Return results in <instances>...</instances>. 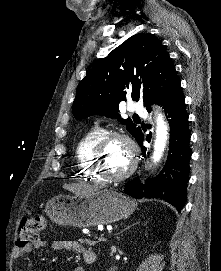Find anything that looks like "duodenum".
Wrapping results in <instances>:
<instances>
[{
	"label": "duodenum",
	"instance_id": "410a0bca",
	"mask_svg": "<svg viewBox=\"0 0 221 271\" xmlns=\"http://www.w3.org/2000/svg\"><path fill=\"white\" fill-rule=\"evenodd\" d=\"M95 259H96L95 255H89V256H87V257L85 258V261H86L87 263H93V262L95 261Z\"/></svg>",
	"mask_w": 221,
	"mask_h": 271
}]
</instances>
